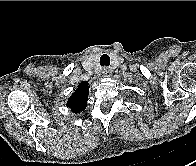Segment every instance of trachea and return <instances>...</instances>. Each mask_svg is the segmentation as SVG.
I'll return each instance as SVG.
<instances>
[{
    "mask_svg": "<svg viewBox=\"0 0 196 166\" xmlns=\"http://www.w3.org/2000/svg\"><path fill=\"white\" fill-rule=\"evenodd\" d=\"M100 65L101 66H109L110 65V57L107 54H103L100 57Z\"/></svg>",
    "mask_w": 196,
    "mask_h": 166,
    "instance_id": "trachea-1",
    "label": "trachea"
}]
</instances>
